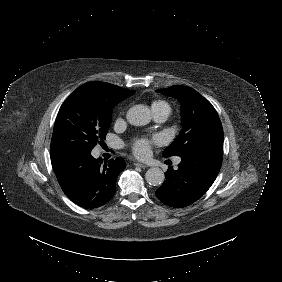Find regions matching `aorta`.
<instances>
[{
	"label": "aorta",
	"mask_w": 282,
	"mask_h": 282,
	"mask_svg": "<svg viewBox=\"0 0 282 282\" xmlns=\"http://www.w3.org/2000/svg\"><path fill=\"white\" fill-rule=\"evenodd\" d=\"M128 122L136 126H144L151 122L152 115L146 105H135L127 113ZM146 181L152 186H160L165 180V174L160 168H150L145 175Z\"/></svg>",
	"instance_id": "1"
}]
</instances>
